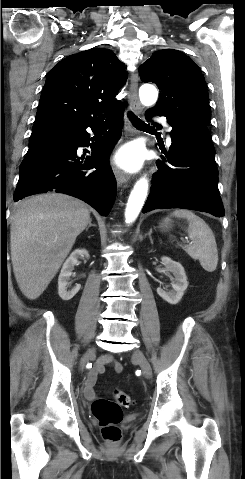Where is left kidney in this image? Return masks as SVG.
I'll return each instance as SVG.
<instances>
[{
	"instance_id": "1",
	"label": "left kidney",
	"mask_w": 245,
	"mask_h": 479,
	"mask_svg": "<svg viewBox=\"0 0 245 479\" xmlns=\"http://www.w3.org/2000/svg\"><path fill=\"white\" fill-rule=\"evenodd\" d=\"M162 264L165 266V270L171 272L174 275V282L172 290L166 291L162 288H157V293L165 301L170 304H177L183 297L185 290L188 287L187 276L183 266L167 256L161 258Z\"/></svg>"
}]
</instances>
